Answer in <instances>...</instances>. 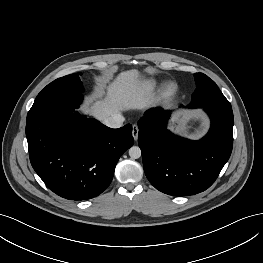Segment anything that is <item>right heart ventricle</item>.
Returning <instances> with one entry per match:
<instances>
[{
	"instance_id": "obj_1",
	"label": "right heart ventricle",
	"mask_w": 263,
	"mask_h": 263,
	"mask_svg": "<svg viewBox=\"0 0 263 263\" xmlns=\"http://www.w3.org/2000/svg\"><path fill=\"white\" fill-rule=\"evenodd\" d=\"M158 86V83L155 80H148L142 84V90L144 92H152L154 91Z\"/></svg>"
}]
</instances>
